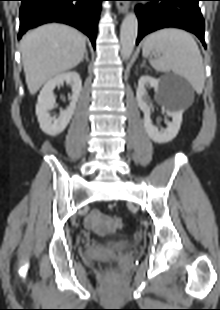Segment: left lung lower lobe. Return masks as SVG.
I'll use <instances>...</instances> for the list:
<instances>
[{
	"instance_id": "0a47b994",
	"label": "left lung lower lobe",
	"mask_w": 220,
	"mask_h": 310,
	"mask_svg": "<svg viewBox=\"0 0 220 310\" xmlns=\"http://www.w3.org/2000/svg\"><path fill=\"white\" fill-rule=\"evenodd\" d=\"M150 1L137 5L139 31L136 44L147 34L158 29L175 27L194 33L206 48L205 24L200 8L201 0H135Z\"/></svg>"
}]
</instances>
